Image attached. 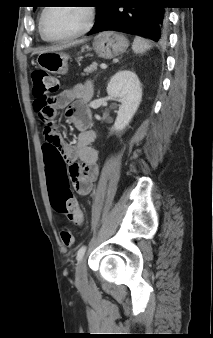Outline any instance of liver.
I'll return each mask as SVG.
<instances>
[{
  "mask_svg": "<svg viewBox=\"0 0 213 338\" xmlns=\"http://www.w3.org/2000/svg\"><path fill=\"white\" fill-rule=\"evenodd\" d=\"M82 42H83V40L74 42V43H72V44H67V45H62V46L48 47V48L43 49V50L40 51L39 53L60 51V50H62V49H64V48L70 47L71 45L78 44V43H82Z\"/></svg>",
  "mask_w": 213,
  "mask_h": 338,
  "instance_id": "obj_1",
  "label": "liver"
}]
</instances>
